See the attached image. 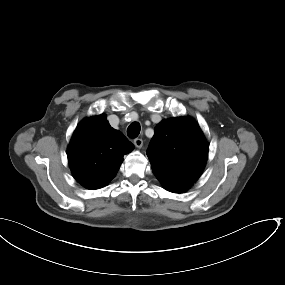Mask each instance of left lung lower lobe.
<instances>
[{
  "instance_id": "1",
  "label": "left lung lower lobe",
  "mask_w": 285,
  "mask_h": 285,
  "mask_svg": "<svg viewBox=\"0 0 285 285\" xmlns=\"http://www.w3.org/2000/svg\"><path fill=\"white\" fill-rule=\"evenodd\" d=\"M155 176L162 183L163 187L166 190L173 192V193H183L191 187V185L188 183L168 180L165 178H161L160 176H157V175Z\"/></svg>"
}]
</instances>
